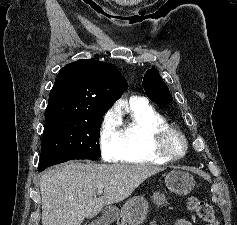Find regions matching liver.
Wrapping results in <instances>:
<instances>
[{"label": "liver", "instance_id": "obj_1", "mask_svg": "<svg viewBox=\"0 0 237 225\" xmlns=\"http://www.w3.org/2000/svg\"><path fill=\"white\" fill-rule=\"evenodd\" d=\"M164 168L149 165L70 161L40 179L42 225H81L103 207L129 197L147 178ZM103 187L102 197L96 193Z\"/></svg>", "mask_w": 237, "mask_h": 225}]
</instances>
